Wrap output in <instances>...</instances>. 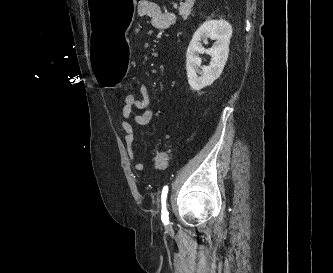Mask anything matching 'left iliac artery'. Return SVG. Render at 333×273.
<instances>
[{"label":"left iliac artery","mask_w":333,"mask_h":273,"mask_svg":"<svg viewBox=\"0 0 333 273\" xmlns=\"http://www.w3.org/2000/svg\"><path fill=\"white\" fill-rule=\"evenodd\" d=\"M167 195H168V186H164L161 193V204H162L161 220L164 224L169 223V213L166 207Z\"/></svg>","instance_id":"1"}]
</instances>
